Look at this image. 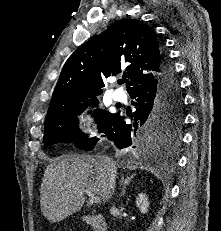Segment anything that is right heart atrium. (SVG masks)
Returning a JSON list of instances; mask_svg holds the SVG:
<instances>
[{
	"instance_id": "1",
	"label": "right heart atrium",
	"mask_w": 221,
	"mask_h": 231,
	"mask_svg": "<svg viewBox=\"0 0 221 231\" xmlns=\"http://www.w3.org/2000/svg\"><path fill=\"white\" fill-rule=\"evenodd\" d=\"M79 120H80V124L82 127L84 128H87L90 130V132L93 134V135H96V129L95 127L91 124V120L88 116H86L85 114H81L79 116Z\"/></svg>"
}]
</instances>
